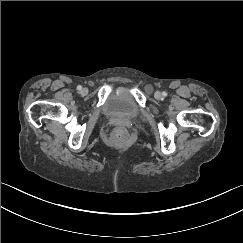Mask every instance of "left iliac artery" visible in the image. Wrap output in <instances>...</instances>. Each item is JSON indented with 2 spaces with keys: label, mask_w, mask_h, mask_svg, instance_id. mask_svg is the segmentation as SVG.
I'll return each instance as SVG.
<instances>
[{
  "label": "left iliac artery",
  "mask_w": 243,
  "mask_h": 243,
  "mask_svg": "<svg viewBox=\"0 0 243 243\" xmlns=\"http://www.w3.org/2000/svg\"><path fill=\"white\" fill-rule=\"evenodd\" d=\"M163 95L166 96L167 94L164 92Z\"/></svg>",
  "instance_id": "left-iliac-artery-1"
}]
</instances>
